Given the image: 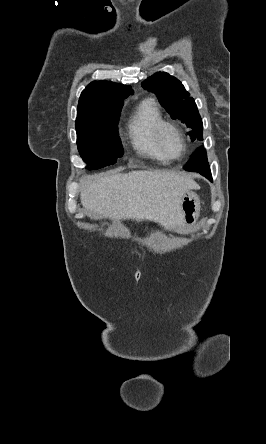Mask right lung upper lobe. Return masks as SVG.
<instances>
[{
    "label": "right lung upper lobe",
    "mask_w": 266,
    "mask_h": 444,
    "mask_svg": "<svg viewBox=\"0 0 266 444\" xmlns=\"http://www.w3.org/2000/svg\"><path fill=\"white\" fill-rule=\"evenodd\" d=\"M133 90L130 86L111 81H93L81 93L78 109H84L102 102L122 101Z\"/></svg>",
    "instance_id": "cb5924a9"
}]
</instances>
